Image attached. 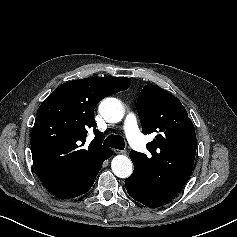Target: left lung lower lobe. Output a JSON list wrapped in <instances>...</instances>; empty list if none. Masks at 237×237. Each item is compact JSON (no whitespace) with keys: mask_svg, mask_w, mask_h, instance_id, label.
<instances>
[{"mask_svg":"<svg viewBox=\"0 0 237 237\" xmlns=\"http://www.w3.org/2000/svg\"><path fill=\"white\" fill-rule=\"evenodd\" d=\"M126 190L128 194L136 201L141 202L142 204L148 206V207H158L163 205L164 203L160 202H153L145 198V196L142 194L141 189L138 187V185L135 183V179L133 178V174L125 180Z\"/></svg>","mask_w":237,"mask_h":237,"instance_id":"obj_1","label":"left lung lower lobe"}]
</instances>
